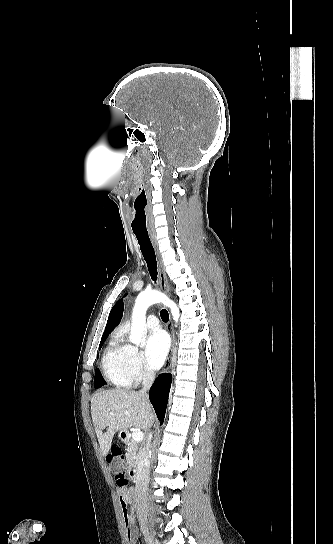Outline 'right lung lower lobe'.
Listing matches in <instances>:
<instances>
[{
    "mask_svg": "<svg viewBox=\"0 0 333 544\" xmlns=\"http://www.w3.org/2000/svg\"><path fill=\"white\" fill-rule=\"evenodd\" d=\"M171 382V374H161L150 388V402L154 407L158 419L161 420V424L165 416Z\"/></svg>",
    "mask_w": 333,
    "mask_h": 544,
    "instance_id": "98d812e1",
    "label": "right lung lower lobe"
}]
</instances>
